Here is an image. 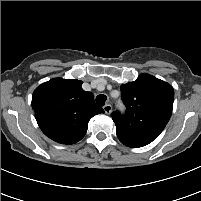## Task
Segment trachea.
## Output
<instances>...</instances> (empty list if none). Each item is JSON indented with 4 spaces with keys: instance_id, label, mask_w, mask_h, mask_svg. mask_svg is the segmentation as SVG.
Segmentation results:
<instances>
[{
    "instance_id": "1",
    "label": "trachea",
    "mask_w": 201,
    "mask_h": 201,
    "mask_svg": "<svg viewBox=\"0 0 201 201\" xmlns=\"http://www.w3.org/2000/svg\"><path fill=\"white\" fill-rule=\"evenodd\" d=\"M106 99H107L106 95L100 94V95H98V96L96 97V103H97L99 106H104Z\"/></svg>"
}]
</instances>
